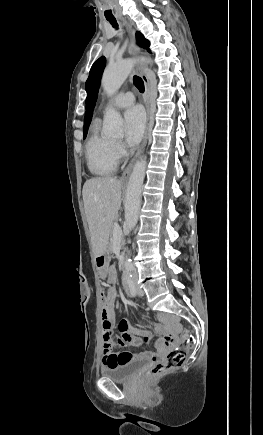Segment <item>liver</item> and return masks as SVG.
<instances>
[{
  "instance_id": "liver-1",
  "label": "liver",
  "mask_w": 263,
  "mask_h": 435,
  "mask_svg": "<svg viewBox=\"0 0 263 435\" xmlns=\"http://www.w3.org/2000/svg\"><path fill=\"white\" fill-rule=\"evenodd\" d=\"M122 182L117 178L99 177L87 180L82 195L95 256L107 249L114 220L121 207Z\"/></svg>"
}]
</instances>
